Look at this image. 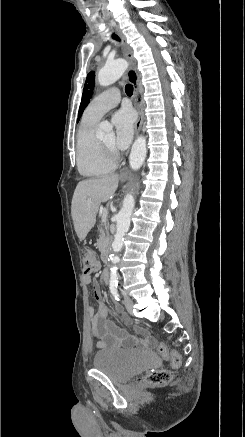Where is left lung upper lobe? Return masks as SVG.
<instances>
[{
  "label": "left lung upper lobe",
  "instance_id": "5c2ea615",
  "mask_svg": "<svg viewBox=\"0 0 245 437\" xmlns=\"http://www.w3.org/2000/svg\"><path fill=\"white\" fill-rule=\"evenodd\" d=\"M94 84H95V74L94 72H90L87 75V79H86V83L84 85V89H83V94H82V100H81V104L79 107V116H78V120L79 121L85 107L88 105V103L90 102V98L92 97V91L94 88Z\"/></svg>",
  "mask_w": 245,
  "mask_h": 437
}]
</instances>
